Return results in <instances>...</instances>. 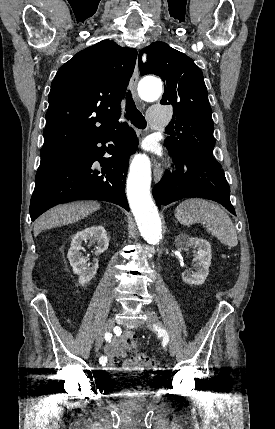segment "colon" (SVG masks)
Segmentation results:
<instances>
[{
    "instance_id": "obj_1",
    "label": "colon",
    "mask_w": 275,
    "mask_h": 429,
    "mask_svg": "<svg viewBox=\"0 0 275 429\" xmlns=\"http://www.w3.org/2000/svg\"><path fill=\"white\" fill-rule=\"evenodd\" d=\"M136 348V339L131 340L128 342L127 349L121 353V355H124L127 351L135 350ZM134 360L138 363L146 367L147 369L151 371H158L159 370V361L157 358L144 354V353H136Z\"/></svg>"
}]
</instances>
